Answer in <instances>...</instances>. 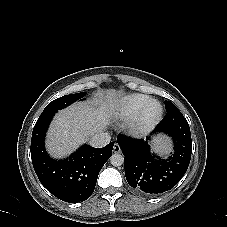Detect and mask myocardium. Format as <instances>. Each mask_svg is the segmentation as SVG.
I'll return each instance as SVG.
<instances>
[{"instance_id": "myocardium-1", "label": "myocardium", "mask_w": 227, "mask_h": 227, "mask_svg": "<svg viewBox=\"0 0 227 227\" xmlns=\"http://www.w3.org/2000/svg\"><path fill=\"white\" fill-rule=\"evenodd\" d=\"M152 104L158 105V112L154 115L148 114V109ZM163 107L156 100H149L141 111L133 117L128 125L129 133L135 137H142L150 133L161 121Z\"/></svg>"}]
</instances>
